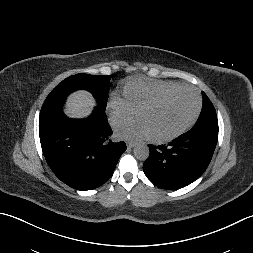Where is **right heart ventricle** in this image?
<instances>
[{"label":"right heart ventricle","mask_w":253,"mask_h":253,"mask_svg":"<svg viewBox=\"0 0 253 253\" xmlns=\"http://www.w3.org/2000/svg\"><path fill=\"white\" fill-rule=\"evenodd\" d=\"M179 86L173 82L133 80L123 89V95L129 105L137 111L143 104L158 95Z\"/></svg>","instance_id":"e07e8e85"}]
</instances>
